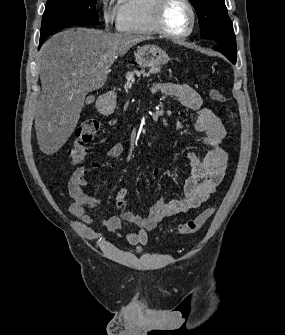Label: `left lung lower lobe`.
I'll use <instances>...</instances> for the list:
<instances>
[{"instance_id":"1","label":"left lung lower lobe","mask_w":285,"mask_h":335,"mask_svg":"<svg viewBox=\"0 0 285 335\" xmlns=\"http://www.w3.org/2000/svg\"><path fill=\"white\" fill-rule=\"evenodd\" d=\"M213 48L224 54L233 64L236 63L237 49L235 44L228 46L226 43H215Z\"/></svg>"}]
</instances>
